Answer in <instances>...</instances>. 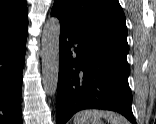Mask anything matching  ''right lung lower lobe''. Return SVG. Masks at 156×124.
Instances as JSON below:
<instances>
[{
  "label": "right lung lower lobe",
  "instance_id": "obj_1",
  "mask_svg": "<svg viewBox=\"0 0 156 124\" xmlns=\"http://www.w3.org/2000/svg\"><path fill=\"white\" fill-rule=\"evenodd\" d=\"M27 28L0 32V124H22L21 86Z\"/></svg>",
  "mask_w": 156,
  "mask_h": 124
}]
</instances>
